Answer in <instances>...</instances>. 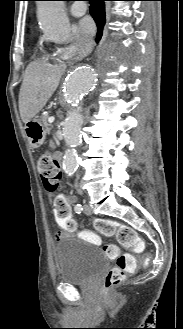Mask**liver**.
<instances>
[{"mask_svg":"<svg viewBox=\"0 0 183 329\" xmlns=\"http://www.w3.org/2000/svg\"><path fill=\"white\" fill-rule=\"evenodd\" d=\"M64 65H49L40 61L30 63L19 92V111L24 123L34 118L57 89Z\"/></svg>","mask_w":183,"mask_h":329,"instance_id":"obj_1","label":"liver"}]
</instances>
